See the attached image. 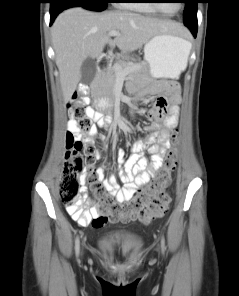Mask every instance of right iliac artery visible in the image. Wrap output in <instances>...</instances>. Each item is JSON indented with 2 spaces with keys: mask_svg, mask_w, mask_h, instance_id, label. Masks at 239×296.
<instances>
[{
  "mask_svg": "<svg viewBox=\"0 0 239 296\" xmlns=\"http://www.w3.org/2000/svg\"><path fill=\"white\" fill-rule=\"evenodd\" d=\"M79 237H77L76 238V241H75V243H76V245H75V251H76V256H78L79 255Z\"/></svg>",
  "mask_w": 239,
  "mask_h": 296,
  "instance_id": "right-iliac-artery-1",
  "label": "right iliac artery"
}]
</instances>
